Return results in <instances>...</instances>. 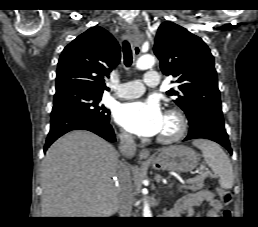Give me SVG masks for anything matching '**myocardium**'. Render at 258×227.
Listing matches in <instances>:
<instances>
[{
  "mask_svg": "<svg viewBox=\"0 0 258 227\" xmlns=\"http://www.w3.org/2000/svg\"><path fill=\"white\" fill-rule=\"evenodd\" d=\"M165 117L172 119L176 124V128L171 134H160L157 137V141L162 144H171L184 136L187 129V119L185 115L177 109L167 110Z\"/></svg>",
  "mask_w": 258,
  "mask_h": 227,
  "instance_id": "myocardium-1",
  "label": "myocardium"
}]
</instances>
